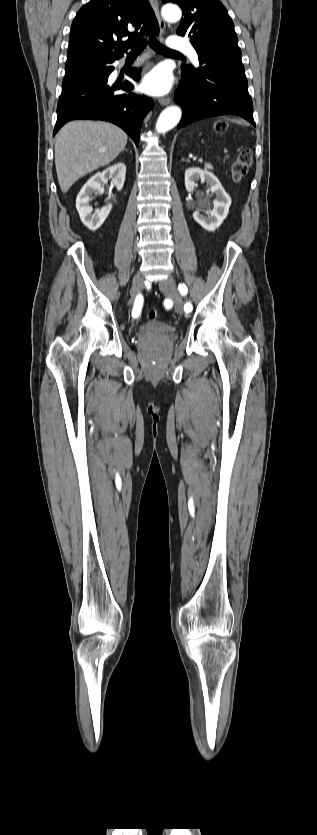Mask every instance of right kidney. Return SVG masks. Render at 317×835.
Instances as JSON below:
<instances>
[{
	"instance_id": "right-kidney-1",
	"label": "right kidney",
	"mask_w": 317,
	"mask_h": 835,
	"mask_svg": "<svg viewBox=\"0 0 317 835\" xmlns=\"http://www.w3.org/2000/svg\"><path fill=\"white\" fill-rule=\"evenodd\" d=\"M125 174V164L117 163L109 168H106L104 171L98 172L95 175H93L84 184L79 194L77 195L76 209L79 213L82 223L91 231L97 230L104 223L112 209V205L108 204L105 207H103L100 211L92 213V209L89 203L92 200L93 194H96L97 191H100L102 182H107L108 179H111V183L117 188V190H121L124 185Z\"/></svg>"
}]
</instances>
